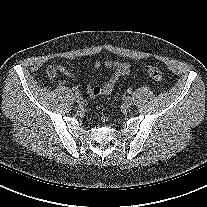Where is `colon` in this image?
<instances>
[{"instance_id": "5ec220e1", "label": "colon", "mask_w": 207, "mask_h": 207, "mask_svg": "<svg viewBox=\"0 0 207 207\" xmlns=\"http://www.w3.org/2000/svg\"><path fill=\"white\" fill-rule=\"evenodd\" d=\"M146 72H147V75L155 81H160L163 78L162 71L155 66H148L146 68Z\"/></svg>"}]
</instances>
